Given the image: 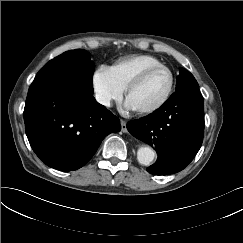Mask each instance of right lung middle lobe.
I'll list each match as a JSON object with an SVG mask.
<instances>
[{
	"label": "right lung middle lobe",
	"instance_id": "right-lung-middle-lobe-1",
	"mask_svg": "<svg viewBox=\"0 0 243 243\" xmlns=\"http://www.w3.org/2000/svg\"><path fill=\"white\" fill-rule=\"evenodd\" d=\"M94 68L89 53L85 50H73L49 61L35 79L72 82L91 87Z\"/></svg>",
	"mask_w": 243,
	"mask_h": 243
}]
</instances>
